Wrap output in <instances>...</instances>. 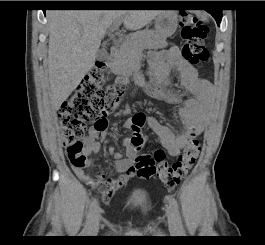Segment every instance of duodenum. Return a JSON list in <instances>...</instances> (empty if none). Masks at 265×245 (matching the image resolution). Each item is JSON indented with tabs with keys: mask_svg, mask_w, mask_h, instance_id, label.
Masks as SVG:
<instances>
[{
	"mask_svg": "<svg viewBox=\"0 0 265 245\" xmlns=\"http://www.w3.org/2000/svg\"><path fill=\"white\" fill-rule=\"evenodd\" d=\"M117 58V48L115 46H113L110 50V53L107 57V63L109 65H112V63L116 60Z\"/></svg>",
	"mask_w": 265,
	"mask_h": 245,
	"instance_id": "duodenum-1",
	"label": "duodenum"
}]
</instances>
